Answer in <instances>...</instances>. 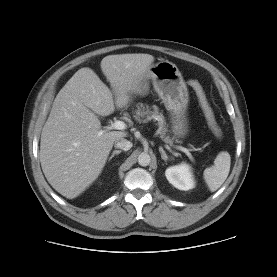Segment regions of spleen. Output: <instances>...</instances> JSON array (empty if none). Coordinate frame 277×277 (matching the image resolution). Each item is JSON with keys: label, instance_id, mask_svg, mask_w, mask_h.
<instances>
[{"label": "spleen", "instance_id": "1", "mask_svg": "<svg viewBox=\"0 0 277 277\" xmlns=\"http://www.w3.org/2000/svg\"><path fill=\"white\" fill-rule=\"evenodd\" d=\"M230 165V154L226 151H222L216 156L214 165L204 170V180L210 191H216L225 182L229 175Z\"/></svg>", "mask_w": 277, "mask_h": 277}]
</instances>
